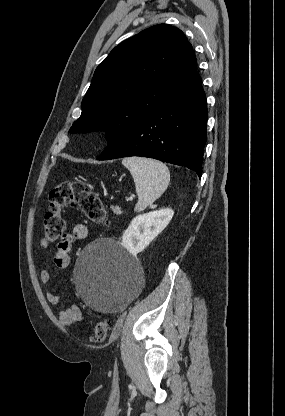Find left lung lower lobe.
<instances>
[{
	"label": "left lung lower lobe",
	"instance_id": "1",
	"mask_svg": "<svg viewBox=\"0 0 285 416\" xmlns=\"http://www.w3.org/2000/svg\"><path fill=\"white\" fill-rule=\"evenodd\" d=\"M208 118L201 77L117 136L97 158L142 156L185 166L202 174Z\"/></svg>",
	"mask_w": 285,
	"mask_h": 416
}]
</instances>
